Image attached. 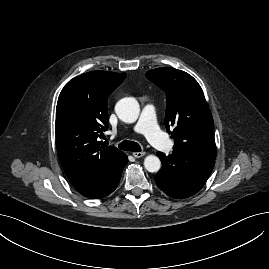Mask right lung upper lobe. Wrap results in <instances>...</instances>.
Segmentation results:
<instances>
[{
	"label": "right lung upper lobe",
	"instance_id": "obj_1",
	"mask_svg": "<svg viewBox=\"0 0 269 269\" xmlns=\"http://www.w3.org/2000/svg\"><path fill=\"white\" fill-rule=\"evenodd\" d=\"M126 73L91 71L73 78L56 107V147L71 184L77 188L101 179L125 154L99 141L108 127L107 99Z\"/></svg>",
	"mask_w": 269,
	"mask_h": 269
}]
</instances>
